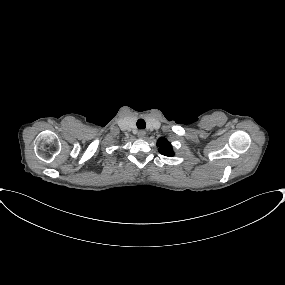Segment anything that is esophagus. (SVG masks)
Segmentation results:
<instances>
[{
	"mask_svg": "<svg viewBox=\"0 0 285 285\" xmlns=\"http://www.w3.org/2000/svg\"><path fill=\"white\" fill-rule=\"evenodd\" d=\"M145 135H146V132H145L144 130H139V131H138V137H139V138L142 139V138L145 137Z\"/></svg>",
	"mask_w": 285,
	"mask_h": 285,
	"instance_id": "esophagus-1",
	"label": "esophagus"
}]
</instances>
